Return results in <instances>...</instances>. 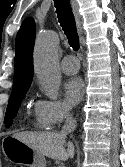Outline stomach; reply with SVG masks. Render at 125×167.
Listing matches in <instances>:
<instances>
[{
  "label": "stomach",
  "instance_id": "1",
  "mask_svg": "<svg viewBox=\"0 0 125 167\" xmlns=\"http://www.w3.org/2000/svg\"><path fill=\"white\" fill-rule=\"evenodd\" d=\"M3 152L13 163H24L29 167H46L43 154L14 137L5 139Z\"/></svg>",
  "mask_w": 125,
  "mask_h": 167
}]
</instances>
